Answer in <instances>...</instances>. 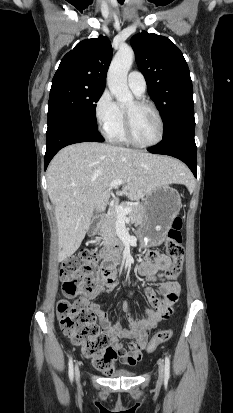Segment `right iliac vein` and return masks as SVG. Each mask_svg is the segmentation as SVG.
Masks as SVG:
<instances>
[{"label":"right iliac vein","instance_id":"1","mask_svg":"<svg viewBox=\"0 0 233 413\" xmlns=\"http://www.w3.org/2000/svg\"><path fill=\"white\" fill-rule=\"evenodd\" d=\"M75 375H76V379L79 380V378H80V371H79L78 365L75 366Z\"/></svg>","mask_w":233,"mask_h":413}]
</instances>
